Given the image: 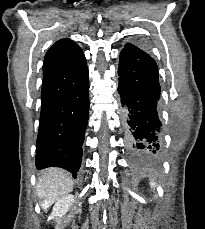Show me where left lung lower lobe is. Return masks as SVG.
I'll return each mask as SVG.
<instances>
[{"mask_svg": "<svg viewBox=\"0 0 205 229\" xmlns=\"http://www.w3.org/2000/svg\"><path fill=\"white\" fill-rule=\"evenodd\" d=\"M119 59L118 93L126 145L135 156L157 161L163 143L157 64L132 43L125 44Z\"/></svg>", "mask_w": 205, "mask_h": 229, "instance_id": "obj_1", "label": "left lung lower lobe"}]
</instances>
